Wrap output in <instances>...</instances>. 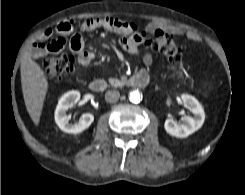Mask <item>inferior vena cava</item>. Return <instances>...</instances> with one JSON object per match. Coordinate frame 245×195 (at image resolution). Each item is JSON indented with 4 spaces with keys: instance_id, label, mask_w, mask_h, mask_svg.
Here are the masks:
<instances>
[{
    "instance_id": "602c4592",
    "label": "inferior vena cava",
    "mask_w": 245,
    "mask_h": 195,
    "mask_svg": "<svg viewBox=\"0 0 245 195\" xmlns=\"http://www.w3.org/2000/svg\"><path fill=\"white\" fill-rule=\"evenodd\" d=\"M119 97H120V93L115 90L107 91L105 94V100L108 103H114L118 101Z\"/></svg>"
}]
</instances>
